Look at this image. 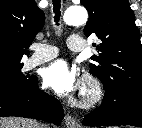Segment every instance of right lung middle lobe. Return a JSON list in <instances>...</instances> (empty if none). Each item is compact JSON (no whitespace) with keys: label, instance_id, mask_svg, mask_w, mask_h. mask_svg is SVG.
Here are the masks:
<instances>
[{"label":"right lung middle lobe","instance_id":"right-lung-middle-lobe-1","mask_svg":"<svg viewBox=\"0 0 142 128\" xmlns=\"http://www.w3.org/2000/svg\"><path fill=\"white\" fill-rule=\"evenodd\" d=\"M22 65H0V94L19 93L27 90L36 80L35 76L22 73Z\"/></svg>","mask_w":142,"mask_h":128}]
</instances>
